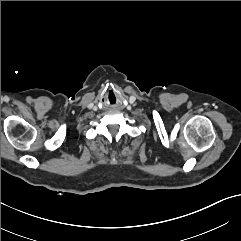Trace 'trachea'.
Wrapping results in <instances>:
<instances>
[{"mask_svg": "<svg viewBox=\"0 0 241 241\" xmlns=\"http://www.w3.org/2000/svg\"><path fill=\"white\" fill-rule=\"evenodd\" d=\"M109 104L110 105H115L116 104V94L115 93H110L109 94Z\"/></svg>", "mask_w": 241, "mask_h": 241, "instance_id": "3493384b", "label": "trachea"}]
</instances>
